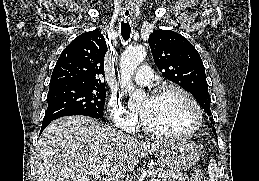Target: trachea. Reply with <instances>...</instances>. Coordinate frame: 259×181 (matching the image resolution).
<instances>
[{
	"label": "trachea",
	"mask_w": 259,
	"mask_h": 181,
	"mask_svg": "<svg viewBox=\"0 0 259 181\" xmlns=\"http://www.w3.org/2000/svg\"><path fill=\"white\" fill-rule=\"evenodd\" d=\"M131 27L129 23L121 22V36L123 40L127 41L130 37Z\"/></svg>",
	"instance_id": "obj_1"
}]
</instances>
